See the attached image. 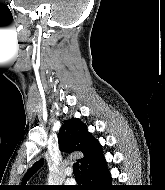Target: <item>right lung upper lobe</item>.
I'll return each instance as SVG.
<instances>
[{
    "label": "right lung upper lobe",
    "instance_id": "obj_1",
    "mask_svg": "<svg viewBox=\"0 0 165 190\" xmlns=\"http://www.w3.org/2000/svg\"><path fill=\"white\" fill-rule=\"evenodd\" d=\"M60 149L67 152L80 151L84 157L80 161L81 172L92 167L103 157L101 145L87 131L85 125L79 119L65 121L59 132ZM43 159L36 162L25 174L21 187L25 190H32L33 186L25 185L26 181L42 166Z\"/></svg>",
    "mask_w": 165,
    "mask_h": 190
}]
</instances>
